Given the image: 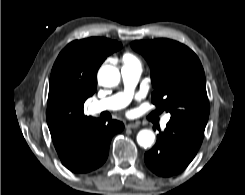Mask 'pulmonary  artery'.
Here are the masks:
<instances>
[{
  "label": "pulmonary artery",
  "mask_w": 245,
  "mask_h": 195,
  "mask_svg": "<svg viewBox=\"0 0 245 195\" xmlns=\"http://www.w3.org/2000/svg\"><path fill=\"white\" fill-rule=\"evenodd\" d=\"M142 66L139 62H124L121 67V75L124 83V90L108 98L98 100L90 105L93 114L103 111H113L124 108L132 99L134 88L141 76ZM170 115L162 120V127H166Z\"/></svg>",
  "instance_id": "e3ab8cb5"
}]
</instances>
